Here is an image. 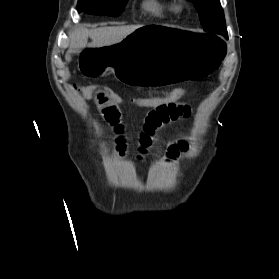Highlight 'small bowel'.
<instances>
[{"mask_svg":"<svg viewBox=\"0 0 279 279\" xmlns=\"http://www.w3.org/2000/svg\"><path fill=\"white\" fill-rule=\"evenodd\" d=\"M155 94V93H152ZM96 105L105 119L112 127L116 136L115 152L118 156H124L127 152V144L124 137V125L119 106L102 97H94ZM193 113L192 107L187 103L176 102L169 105L153 107L146 115L139 136L137 158L142 160L148 153L153 143V136L165 124L179 119L189 118ZM188 148L185 141L180 140L168 146L165 161L171 164L178 156Z\"/></svg>","mask_w":279,"mask_h":279,"instance_id":"small-bowel-1","label":"small bowel"}]
</instances>
